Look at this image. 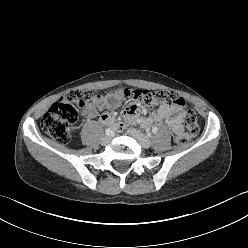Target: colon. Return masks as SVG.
<instances>
[{"label":"colon","instance_id":"5ec220e1","mask_svg":"<svg viewBox=\"0 0 248 248\" xmlns=\"http://www.w3.org/2000/svg\"><path fill=\"white\" fill-rule=\"evenodd\" d=\"M128 101L146 109H153L158 105H169L179 110H185L186 102L172 91L128 90ZM94 95L88 90H72L54 103L41 119V129L55 141L65 144L70 139L69 128L75 123L79 109L90 106ZM183 123L185 131L175 134V142L183 144L200 131V124L192 110H186Z\"/></svg>","mask_w":248,"mask_h":248}]
</instances>
